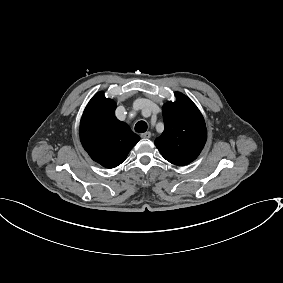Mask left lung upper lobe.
Wrapping results in <instances>:
<instances>
[{"label":"left lung upper lobe","instance_id":"5c2ea615","mask_svg":"<svg viewBox=\"0 0 283 283\" xmlns=\"http://www.w3.org/2000/svg\"><path fill=\"white\" fill-rule=\"evenodd\" d=\"M175 95L176 101L163 106L165 129L155 145L167 161L183 166L198 157L205 145L207 130L196 105L182 93Z\"/></svg>","mask_w":283,"mask_h":283}]
</instances>
